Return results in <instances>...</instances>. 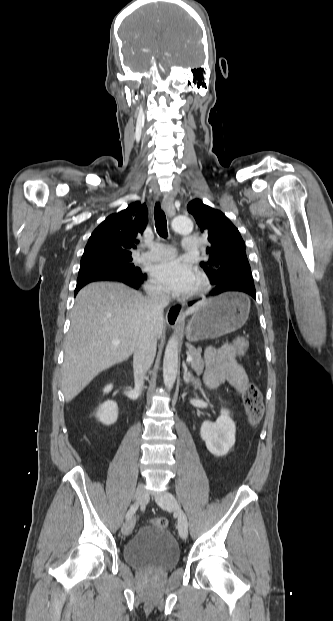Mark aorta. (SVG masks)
Instances as JSON below:
<instances>
[{
    "label": "aorta",
    "mask_w": 333,
    "mask_h": 621,
    "mask_svg": "<svg viewBox=\"0 0 333 621\" xmlns=\"http://www.w3.org/2000/svg\"><path fill=\"white\" fill-rule=\"evenodd\" d=\"M172 229L180 234H190L193 223L187 217H175L171 223ZM178 373V340L170 338L165 348L163 360V379L166 389L171 390Z\"/></svg>",
    "instance_id": "aorta-1"
}]
</instances>
